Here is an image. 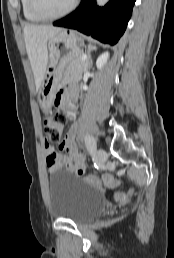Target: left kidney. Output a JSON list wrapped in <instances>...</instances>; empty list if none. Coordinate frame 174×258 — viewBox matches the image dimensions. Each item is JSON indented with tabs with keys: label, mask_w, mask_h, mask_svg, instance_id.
Segmentation results:
<instances>
[{
	"label": "left kidney",
	"mask_w": 174,
	"mask_h": 258,
	"mask_svg": "<svg viewBox=\"0 0 174 258\" xmlns=\"http://www.w3.org/2000/svg\"><path fill=\"white\" fill-rule=\"evenodd\" d=\"M108 58H109V53H108V52L102 53V54L98 57V59H97V61H96V66H97V68H98V69H102L103 66L107 63Z\"/></svg>",
	"instance_id": "obj_1"
}]
</instances>
